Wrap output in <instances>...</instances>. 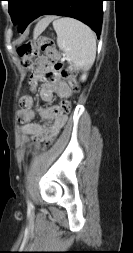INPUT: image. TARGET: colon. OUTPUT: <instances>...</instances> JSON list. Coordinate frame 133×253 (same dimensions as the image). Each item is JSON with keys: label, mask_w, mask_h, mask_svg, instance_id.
Returning a JSON list of instances; mask_svg holds the SVG:
<instances>
[{"label": "colon", "mask_w": 133, "mask_h": 253, "mask_svg": "<svg viewBox=\"0 0 133 253\" xmlns=\"http://www.w3.org/2000/svg\"><path fill=\"white\" fill-rule=\"evenodd\" d=\"M43 53L45 56H54L53 69L56 72H60L63 76L67 77V83H70L71 87L77 91L78 83L72 77V74L64 69L62 62L60 61L59 54L55 48L53 40L48 37H38L36 40L28 41L20 45L17 49V54L20 57L23 66L26 69H31L34 60ZM72 104L69 100H63L54 109V114H68L71 111Z\"/></svg>", "instance_id": "5ec220e1"}]
</instances>
